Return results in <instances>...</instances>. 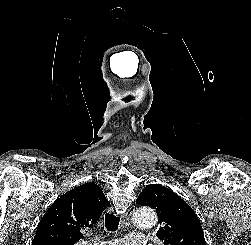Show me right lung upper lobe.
Masks as SVG:
<instances>
[{"instance_id":"right-lung-upper-lobe-1","label":"right lung upper lobe","mask_w":251,"mask_h":245,"mask_svg":"<svg viewBox=\"0 0 251 245\" xmlns=\"http://www.w3.org/2000/svg\"><path fill=\"white\" fill-rule=\"evenodd\" d=\"M110 206L100 187L85 183L58 198L41 218L32 245H73Z\"/></svg>"}]
</instances>
